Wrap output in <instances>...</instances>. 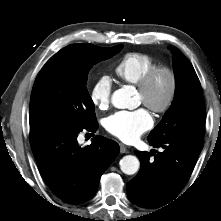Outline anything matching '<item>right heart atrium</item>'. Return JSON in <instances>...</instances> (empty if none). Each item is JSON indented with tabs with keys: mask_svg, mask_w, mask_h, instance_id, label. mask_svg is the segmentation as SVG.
<instances>
[{
	"mask_svg": "<svg viewBox=\"0 0 221 221\" xmlns=\"http://www.w3.org/2000/svg\"><path fill=\"white\" fill-rule=\"evenodd\" d=\"M112 81L110 77L103 75L100 76L92 85L90 90V100L92 104L99 110L108 108L112 97Z\"/></svg>",
	"mask_w": 221,
	"mask_h": 221,
	"instance_id": "right-heart-atrium-1",
	"label": "right heart atrium"
}]
</instances>
